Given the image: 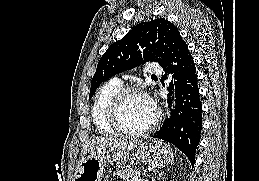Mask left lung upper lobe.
Instances as JSON below:
<instances>
[{
    "label": "left lung upper lobe",
    "instance_id": "left-lung-upper-lobe-1",
    "mask_svg": "<svg viewBox=\"0 0 259 181\" xmlns=\"http://www.w3.org/2000/svg\"><path fill=\"white\" fill-rule=\"evenodd\" d=\"M180 37L178 29L163 18L133 27L121 40L110 45L99 60L89 98L103 81L143 62L154 60L162 66Z\"/></svg>",
    "mask_w": 259,
    "mask_h": 181
}]
</instances>
